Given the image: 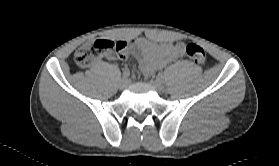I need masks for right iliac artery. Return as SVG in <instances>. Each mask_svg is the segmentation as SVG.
I'll return each mask as SVG.
<instances>
[{
  "mask_svg": "<svg viewBox=\"0 0 279 166\" xmlns=\"http://www.w3.org/2000/svg\"><path fill=\"white\" fill-rule=\"evenodd\" d=\"M130 76V71L129 70H124L123 71V78H128Z\"/></svg>",
  "mask_w": 279,
  "mask_h": 166,
  "instance_id": "right-iliac-artery-1",
  "label": "right iliac artery"
}]
</instances>
